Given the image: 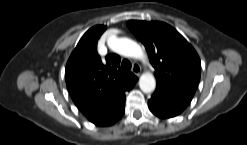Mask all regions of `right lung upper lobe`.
<instances>
[{
  "mask_svg": "<svg viewBox=\"0 0 247 145\" xmlns=\"http://www.w3.org/2000/svg\"><path fill=\"white\" fill-rule=\"evenodd\" d=\"M106 26L89 29L72 52L65 71L68 91L78 109L97 126H108L125 111V91L133 88L138 78L120 69V57L106 56L102 62L97 41Z\"/></svg>",
  "mask_w": 247,
  "mask_h": 145,
  "instance_id": "cb5924a9",
  "label": "right lung upper lobe"
}]
</instances>
